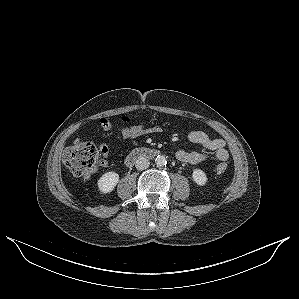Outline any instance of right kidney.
<instances>
[{
  "instance_id": "right-kidney-1",
  "label": "right kidney",
  "mask_w": 299,
  "mask_h": 299,
  "mask_svg": "<svg viewBox=\"0 0 299 299\" xmlns=\"http://www.w3.org/2000/svg\"><path fill=\"white\" fill-rule=\"evenodd\" d=\"M119 182V175L113 171L104 173L98 180V188L102 193L111 192Z\"/></svg>"
}]
</instances>
